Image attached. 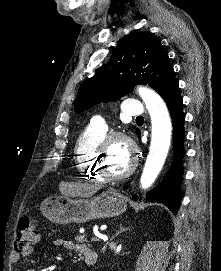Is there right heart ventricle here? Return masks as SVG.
I'll return each mask as SVG.
<instances>
[{
	"label": "right heart ventricle",
	"instance_id": "1",
	"mask_svg": "<svg viewBox=\"0 0 221 271\" xmlns=\"http://www.w3.org/2000/svg\"><path fill=\"white\" fill-rule=\"evenodd\" d=\"M107 137L106 133H96L89 137L77 138L75 163L80 164V166H77L79 179H93V183H103L104 180L100 171H96L98 167L92 162L94 161L93 158H97L95 151L99 144H104Z\"/></svg>",
	"mask_w": 221,
	"mask_h": 271
}]
</instances>
